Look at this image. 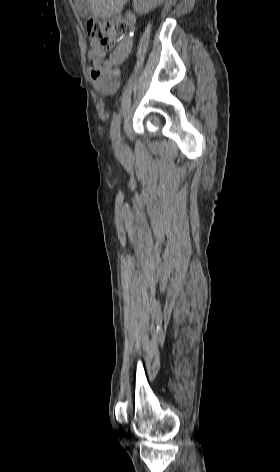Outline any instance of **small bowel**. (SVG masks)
Returning a JSON list of instances; mask_svg holds the SVG:
<instances>
[{
  "label": "small bowel",
  "instance_id": "obj_1",
  "mask_svg": "<svg viewBox=\"0 0 280 472\" xmlns=\"http://www.w3.org/2000/svg\"><path fill=\"white\" fill-rule=\"evenodd\" d=\"M130 23H134L132 17ZM133 47L131 37L122 39L112 53L106 57L102 48H92L88 52V57L92 64L88 67V73L93 88L102 96L114 94L121 83L120 65L128 58Z\"/></svg>",
  "mask_w": 280,
  "mask_h": 472
}]
</instances>
